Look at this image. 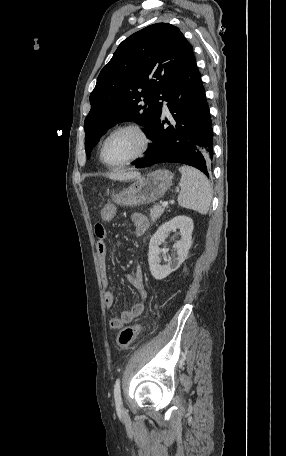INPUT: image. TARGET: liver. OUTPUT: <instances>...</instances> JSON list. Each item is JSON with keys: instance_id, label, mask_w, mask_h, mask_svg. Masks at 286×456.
I'll return each mask as SVG.
<instances>
[{"instance_id": "obj_1", "label": "liver", "mask_w": 286, "mask_h": 456, "mask_svg": "<svg viewBox=\"0 0 286 456\" xmlns=\"http://www.w3.org/2000/svg\"><path fill=\"white\" fill-rule=\"evenodd\" d=\"M106 177L112 180L128 181L132 179H140L141 174L136 171H114L112 173L106 174Z\"/></svg>"}]
</instances>
